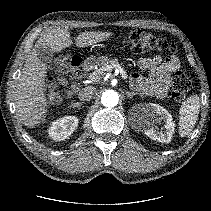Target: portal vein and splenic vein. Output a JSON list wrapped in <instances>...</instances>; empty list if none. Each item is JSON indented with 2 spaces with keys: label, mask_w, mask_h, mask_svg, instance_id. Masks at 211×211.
Here are the masks:
<instances>
[{
  "label": "portal vein and splenic vein",
  "mask_w": 211,
  "mask_h": 211,
  "mask_svg": "<svg viewBox=\"0 0 211 211\" xmlns=\"http://www.w3.org/2000/svg\"><path fill=\"white\" fill-rule=\"evenodd\" d=\"M119 68V73L121 74L123 79H127V74L126 71L124 69H122L121 67ZM91 79H98L99 78V74L97 72H93L90 76Z\"/></svg>",
  "instance_id": "obj_1"
}]
</instances>
